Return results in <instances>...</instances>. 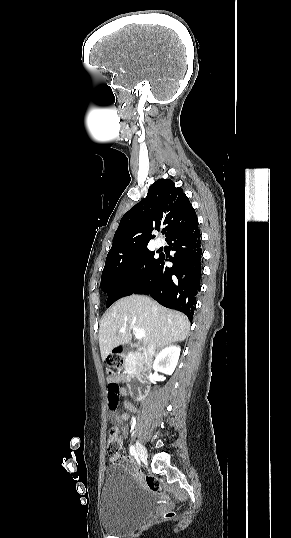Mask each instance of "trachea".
<instances>
[{"label":"trachea","mask_w":291,"mask_h":538,"mask_svg":"<svg viewBox=\"0 0 291 538\" xmlns=\"http://www.w3.org/2000/svg\"><path fill=\"white\" fill-rule=\"evenodd\" d=\"M164 233H165V230H162V234H164Z\"/></svg>","instance_id":"obj_1"}]
</instances>
